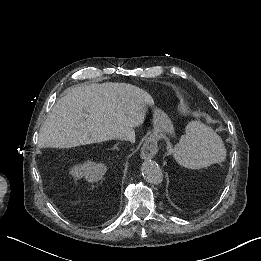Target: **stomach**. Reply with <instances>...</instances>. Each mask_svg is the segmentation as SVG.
I'll return each instance as SVG.
<instances>
[{
  "instance_id": "0dacf381",
  "label": "stomach",
  "mask_w": 261,
  "mask_h": 261,
  "mask_svg": "<svg viewBox=\"0 0 261 261\" xmlns=\"http://www.w3.org/2000/svg\"><path fill=\"white\" fill-rule=\"evenodd\" d=\"M154 113H153V124H154V133L158 135L162 134H172L174 132L173 123L168 115L163 112L161 109H154V102L152 105Z\"/></svg>"
}]
</instances>
